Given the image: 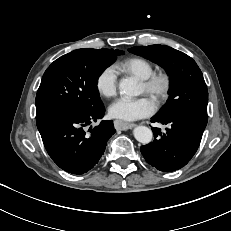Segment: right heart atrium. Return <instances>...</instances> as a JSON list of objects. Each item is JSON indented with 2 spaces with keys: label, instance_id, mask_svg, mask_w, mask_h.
<instances>
[{
  "label": "right heart atrium",
  "instance_id": "d8ad5b80",
  "mask_svg": "<svg viewBox=\"0 0 231 231\" xmlns=\"http://www.w3.org/2000/svg\"><path fill=\"white\" fill-rule=\"evenodd\" d=\"M118 73L115 67L107 66L96 78V89L104 97H112L117 92Z\"/></svg>",
  "mask_w": 231,
  "mask_h": 231
}]
</instances>
